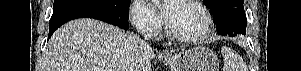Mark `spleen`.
<instances>
[{
	"label": "spleen",
	"instance_id": "spleen-1",
	"mask_svg": "<svg viewBox=\"0 0 301 71\" xmlns=\"http://www.w3.org/2000/svg\"><path fill=\"white\" fill-rule=\"evenodd\" d=\"M221 53L224 61L223 71H248L242 57L233 49L223 46Z\"/></svg>",
	"mask_w": 301,
	"mask_h": 71
}]
</instances>
